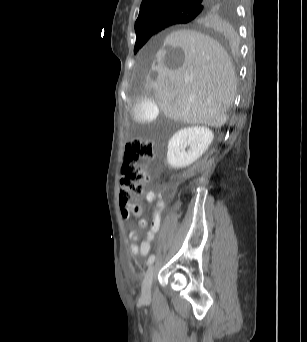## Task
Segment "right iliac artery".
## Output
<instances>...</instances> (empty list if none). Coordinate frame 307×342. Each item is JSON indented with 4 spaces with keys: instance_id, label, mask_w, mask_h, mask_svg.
Returning a JSON list of instances; mask_svg holds the SVG:
<instances>
[{
    "instance_id": "right-iliac-artery-1",
    "label": "right iliac artery",
    "mask_w": 307,
    "mask_h": 342,
    "mask_svg": "<svg viewBox=\"0 0 307 342\" xmlns=\"http://www.w3.org/2000/svg\"><path fill=\"white\" fill-rule=\"evenodd\" d=\"M154 260H155V256H154V255H151V256L149 257V259H148L147 264H148V265H151V264L154 262Z\"/></svg>"
}]
</instances>
